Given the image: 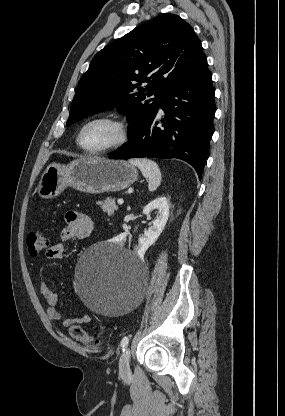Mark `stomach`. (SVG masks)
<instances>
[{"label":"stomach","instance_id":"1","mask_svg":"<svg viewBox=\"0 0 285 416\" xmlns=\"http://www.w3.org/2000/svg\"><path fill=\"white\" fill-rule=\"evenodd\" d=\"M138 178V170L124 160L106 158H79L71 164H50L37 186L40 198L50 200L66 190L67 186L86 194L121 192Z\"/></svg>","mask_w":285,"mask_h":416}]
</instances>
